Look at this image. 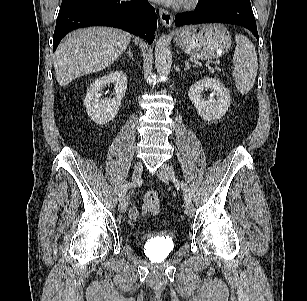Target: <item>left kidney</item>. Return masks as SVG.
Segmentation results:
<instances>
[{"label":"left kidney","instance_id":"left-kidney-1","mask_svg":"<svg viewBox=\"0 0 307 301\" xmlns=\"http://www.w3.org/2000/svg\"><path fill=\"white\" fill-rule=\"evenodd\" d=\"M205 90H211L216 98L206 100L202 97ZM189 99L198 114L208 121H216L223 117L231 105V96L227 88L218 79L204 77L197 81L188 91Z\"/></svg>","mask_w":307,"mask_h":301}]
</instances>
